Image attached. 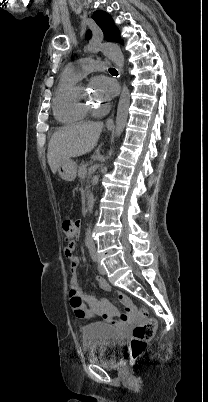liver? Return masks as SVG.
<instances>
[{"mask_svg": "<svg viewBox=\"0 0 208 402\" xmlns=\"http://www.w3.org/2000/svg\"><path fill=\"white\" fill-rule=\"evenodd\" d=\"M102 128V122H77L55 132L48 144L47 154L53 174H56L57 168L65 160L91 152L97 146Z\"/></svg>", "mask_w": 208, "mask_h": 402, "instance_id": "6515ba94", "label": "liver"}]
</instances>
